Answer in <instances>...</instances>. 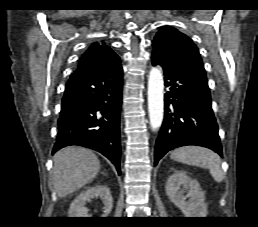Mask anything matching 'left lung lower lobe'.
I'll use <instances>...</instances> for the list:
<instances>
[{
	"label": "left lung lower lobe",
	"mask_w": 258,
	"mask_h": 227,
	"mask_svg": "<svg viewBox=\"0 0 258 227\" xmlns=\"http://www.w3.org/2000/svg\"><path fill=\"white\" fill-rule=\"evenodd\" d=\"M152 64L162 67L164 83L169 88L155 146V164L168 151L185 145L207 147L222 156L207 77L159 51H153Z\"/></svg>",
	"instance_id": "0a47b994"
}]
</instances>
